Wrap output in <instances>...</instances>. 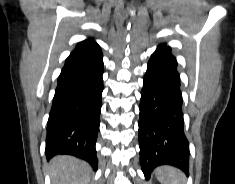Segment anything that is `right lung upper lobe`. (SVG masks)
<instances>
[{
    "label": "right lung upper lobe",
    "instance_id": "obj_1",
    "mask_svg": "<svg viewBox=\"0 0 235 184\" xmlns=\"http://www.w3.org/2000/svg\"><path fill=\"white\" fill-rule=\"evenodd\" d=\"M101 52L100 46L93 40L87 39L77 44L72 53H97Z\"/></svg>",
    "mask_w": 235,
    "mask_h": 184
}]
</instances>
